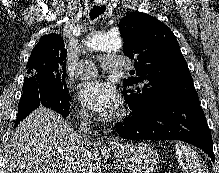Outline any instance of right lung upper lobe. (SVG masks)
<instances>
[{"label": "right lung upper lobe", "instance_id": "cb5924a9", "mask_svg": "<svg viewBox=\"0 0 219 173\" xmlns=\"http://www.w3.org/2000/svg\"><path fill=\"white\" fill-rule=\"evenodd\" d=\"M66 56L63 37L58 34H48L43 36L33 48L29 61L58 64L66 69Z\"/></svg>", "mask_w": 219, "mask_h": 173}]
</instances>
